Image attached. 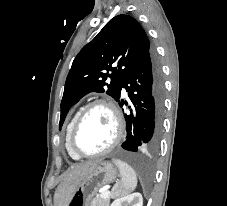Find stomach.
<instances>
[{
	"instance_id": "0dacf381",
	"label": "stomach",
	"mask_w": 227,
	"mask_h": 206,
	"mask_svg": "<svg viewBox=\"0 0 227 206\" xmlns=\"http://www.w3.org/2000/svg\"><path fill=\"white\" fill-rule=\"evenodd\" d=\"M116 167L108 161H101L78 185L68 206H90L91 199L103 186L117 177Z\"/></svg>"
}]
</instances>
